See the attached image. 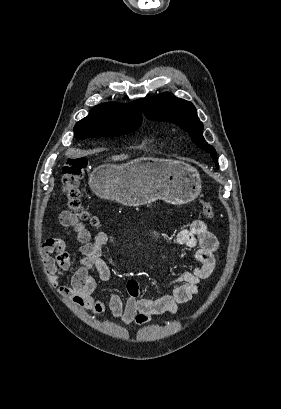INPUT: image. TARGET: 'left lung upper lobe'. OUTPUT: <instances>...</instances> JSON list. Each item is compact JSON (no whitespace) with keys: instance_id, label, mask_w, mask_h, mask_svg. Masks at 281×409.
I'll return each mask as SVG.
<instances>
[{"instance_id":"1","label":"left lung upper lobe","mask_w":281,"mask_h":409,"mask_svg":"<svg viewBox=\"0 0 281 409\" xmlns=\"http://www.w3.org/2000/svg\"><path fill=\"white\" fill-rule=\"evenodd\" d=\"M144 114L150 120L175 123L186 130L192 141L201 149L211 154L218 166L215 149L203 137V124L197 117L194 105L186 100L176 98L170 93L141 99Z\"/></svg>"}]
</instances>
